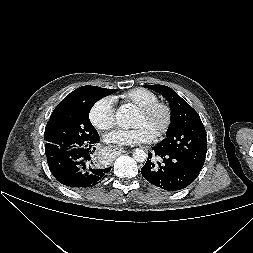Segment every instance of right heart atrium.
<instances>
[{"label": "right heart atrium", "mask_w": 253, "mask_h": 253, "mask_svg": "<svg viewBox=\"0 0 253 253\" xmlns=\"http://www.w3.org/2000/svg\"><path fill=\"white\" fill-rule=\"evenodd\" d=\"M115 104L111 97L97 100L90 109L89 119L98 130H109L115 125Z\"/></svg>", "instance_id": "1"}]
</instances>
